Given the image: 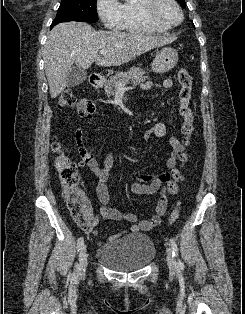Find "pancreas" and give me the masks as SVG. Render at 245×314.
Here are the masks:
<instances>
[{"instance_id":"obj_1","label":"pancreas","mask_w":245,"mask_h":314,"mask_svg":"<svg viewBox=\"0 0 245 314\" xmlns=\"http://www.w3.org/2000/svg\"><path fill=\"white\" fill-rule=\"evenodd\" d=\"M145 74L146 72L141 67H132L128 71L118 72L116 75L109 77L104 85V91L107 96H112L120 83L124 86L130 82L135 86L140 85L148 79V76Z\"/></svg>"}]
</instances>
